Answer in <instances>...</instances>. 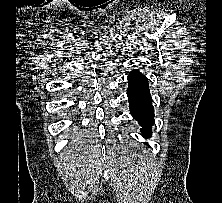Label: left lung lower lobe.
<instances>
[{
  "label": "left lung lower lobe",
  "instance_id": "obj_1",
  "mask_svg": "<svg viewBox=\"0 0 222 203\" xmlns=\"http://www.w3.org/2000/svg\"><path fill=\"white\" fill-rule=\"evenodd\" d=\"M128 80V100L131 114L143 126L141 129L143 135L150 137V128L154 121V109L148 79L139 70H134L130 73Z\"/></svg>",
  "mask_w": 222,
  "mask_h": 203
}]
</instances>
